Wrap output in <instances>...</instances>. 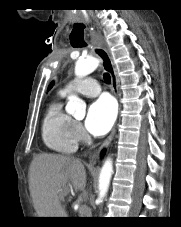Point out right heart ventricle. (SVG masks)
Masks as SVG:
<instances>
[{"label": "right heart ventricle", "instance_id": "right-heart-ventricle-1", "mask_svg": "<svg viewBox=\"0 0 181 227\" xmlns=\"http://www.w3.org/2000/svg\"><path fill=\"white\" fill-rule=\"evenodd\" d=\"M61 93L48 106L42 123V138L45 145L59 153H73L77 140L73 133L74 120L62 109Z\"/></svg>", "mask_w": 181, "mask_h": 227}]
</instances>
